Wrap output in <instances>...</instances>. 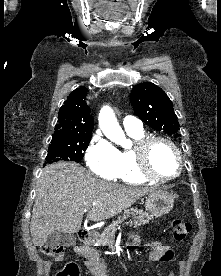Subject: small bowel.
<instances>
[{
  "label": "small bowel",
  "instance_id": "obj_1",
  "mask_svg": "<svg viewBox=\"0 0 221 276\" xmlns=\"http://www.w3.org/2000/svg\"><path fill=\"white\" fill-rule=\"evenodd\" d=\"M139 243L140 240L137 236L131 237L130 244L132 246H137ZM149 246L151 247V252L149 254L150 261L166 262L171 261L174 257L172 249L159 241L152 242ZM75 250L79 255L86 258V266L93 276H107L106 266L95 249L85 246H77ZM167 276L175 275L173 273H168Z\"/></svg>",
  "mask_w": 221,
  "mask_h": 276
}]
</instances>
